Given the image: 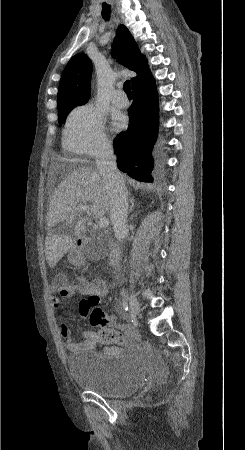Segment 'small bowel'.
<instances>
[{
    "label": "small bowel",
    "mask_w": 245,
    "mask_h": 450,
    "mask_svg": "<svg viewBox=\"0 0 245 450\" xmlns=\"http://www.w3.org/2000/svg\"><path fill=\"white\" fill-rule=\"evenodd\" d=\"M94 285L93 297L97 300L102 299L106 291L108 289V284L104 281H94L92 282ZM76 289L73 286L68 287L66 290H63L58 294H53L51 297V305L54 309H58L60 307V299L70 297ZM89 303L88 300L82 302L79 307V317L84 319L87 318L88 312L85 311L86 305ZM59 316V314H58ZM60 317V316H59ZM61 338L67 348V350L71 353H78L81 351L93 350L99 342L93 337L92 332L86 333L83 340L80 342L74 341L71 338L69 325L67 323L62 324L61 327ZM135 340L133 337H130L128 340L129 345H133ZM125 351V347L119 346H106L104 348V352L107 354L118 355Z\"/></svg>",
    "instance_id": "1"
}]
</instances>
